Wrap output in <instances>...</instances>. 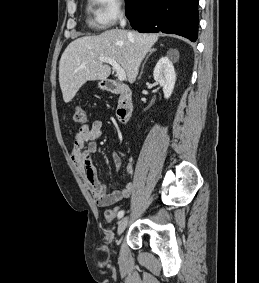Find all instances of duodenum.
Returning a JSON list of instances; mask_svg holds the SVG:
<instances>
[{"instance_id":"1","label":"duodenum","mask_w":259,"mask_h":283,"mask_svg":"<svg viewBox=\"0 0 259 283\" xmlns=\"http://www.w3.org/2000/svg\"><path fill=\"white\" fill-rule=\"evenodd\" d=\"M105 88L107 92L118 95L117 118L127 122L133 112L132 91L114 80L106 81Z\"/></svg>"}]
</instances>
